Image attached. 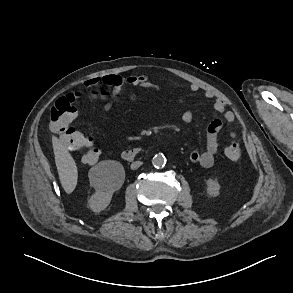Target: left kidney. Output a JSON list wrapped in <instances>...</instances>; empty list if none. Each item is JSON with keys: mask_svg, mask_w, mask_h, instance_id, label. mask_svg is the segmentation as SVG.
Returning a JSON list of instances; mask_svg holds the SVG:
<instances>
[{"mask_svg": "<svg viewBox=\"0 0 293 293\" xmlns=\"http://www.w3.org/2000/svg\"><path fill=\"white\" fill-rule=\"evenodd\" d=\"M206 186V191L208 195L217 196L219 194L220 184L216 180L208 179L206 181Z\"/></svg>", "mask_w": 293, "mask_h": 293, "instance_id": "5707ae66", "label": "left kidney"}]
</instances>
